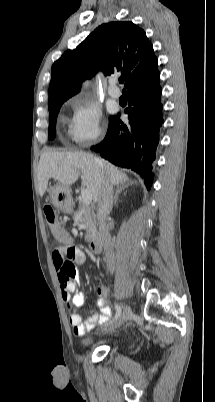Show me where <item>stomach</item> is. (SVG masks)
Listing matches in <instances>:
<instances>
[{
	"label": "stomach",
	"instance_id": "stomach-1",
	"mask_svg": "<svg viewBox=\"0 0 215 402\" xmlns=\"http://www.w3.org/2000/svg\"><path fill=\"white\" fill-rule=\"evenodd\" d=\"M52 204L64 213L72 212L71 189L57 184L49 191Z\"/></svg>",
	"mask_w": 215,
	"mask_h": 402
}]
</instances>
